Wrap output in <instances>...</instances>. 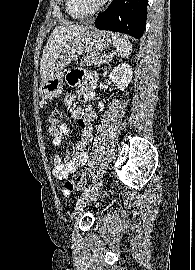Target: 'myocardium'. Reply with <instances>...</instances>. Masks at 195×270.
I'll list each match as a JSON object with an SVG mask.
<instances>
[{"label": "myocardium", "instance_id": "obj_1", "mask_svg": "<svg viewBox=\"0 0 195 270\" xmlns=\"http://www.w3.org/2000/svg\"><path fill=\"white\" fill-rule=\"evenodd\" d=\"M78 1L84 9L94 13L100 10L108 0H99L98 2H92L91 0H78Z\"/></svg>", "mask_w": 195, "mask_h": 270}]
</instances>
